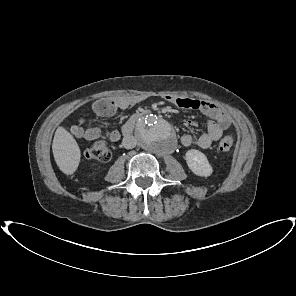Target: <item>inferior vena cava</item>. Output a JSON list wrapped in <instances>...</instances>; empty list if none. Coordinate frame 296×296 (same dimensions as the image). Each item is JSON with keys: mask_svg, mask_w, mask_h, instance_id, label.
<instances>
[{"mask_svg": "<svg viewBox=\"0 0 296 296\" xmlns=\"http://www.w3.org/2000/svg\"><path fill=\"white\" fill-rule=\"evenodd\" d=\"M137 140L132 135H127L123 138L122 145L126 149H132L136 146Z\"/></svg>", "mask_w": 296, "mask_h": 296, "instance_id": "1", "label": "inferior vena cava"}]
</instances>
